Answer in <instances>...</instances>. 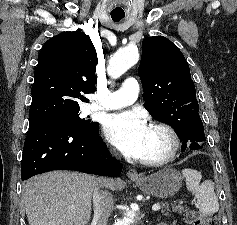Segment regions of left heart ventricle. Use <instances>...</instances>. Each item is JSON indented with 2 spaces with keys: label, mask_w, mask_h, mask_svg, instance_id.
<instances>
[{
  "label": "left heart ventricle",
  "mask_w": 237,
  "mask_h": 225,
  "mask_svg": "<svg viewBox=\"0 0 237 225\" xmlns=\"http://www.w3.org/2000/svg\"><path fill=\"white\" fill-rule=\"evenodd\" d=\"M169 147L168 138L161 132L148 128L145 149L142 158L159 157L166 153Z\"/></svg>",
  "instance_id": "b2bd125f"
}]
</instances>
